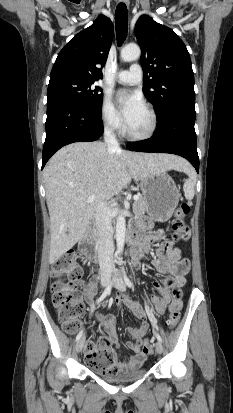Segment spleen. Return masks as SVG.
Returning <instances> with one entry per match:
<instances>
[{
    "label": "spleen",
    "instance_id": "1",
    "mask_svg": "<svg viewBox=\"0 0 233 413\" xmlns=\"http://www.w3.org/2000/svg\"><path fill=\"white\" fill-rule=\"evenodd\" d=\"M189 173V178L185 181L183 190H184V195L187 200H192L194 195H195V175L193 172L190 170L188 171Z\"/></svg>",
    "mask_w": 233,
    "mask_h": 413
}]
</instances>
